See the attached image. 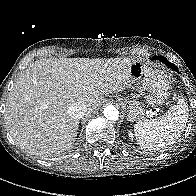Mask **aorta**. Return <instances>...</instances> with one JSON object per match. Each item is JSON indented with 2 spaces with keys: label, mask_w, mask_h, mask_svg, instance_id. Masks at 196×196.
<instances>
[{
  "label": "aorta",
  "mask_w": 196,
  "mask_h": 196,
  "mask_svg": "<svg viewBox=\"0 0 196 196\" xmlns=\"http://www.w3.org/2000/svg\"><path fill=\"white\" fill-rule=\"evenodd\" d=\"M104 116L108 119V120H112V121H116L119 118V111L116 107L112 106V105H108L104 108Z\"/></svg>",
  "instance_id": "1"
}]
</instances>
